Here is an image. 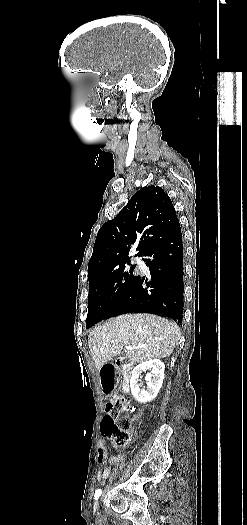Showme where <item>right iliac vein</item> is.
<instances>
[{
    "mask_svg": "<svg viewBox=\"0 0 247 525\" xmlns=\"http://www.w3.org/2000/svg\"><path fill=\"white\" fill-rule=\"evenodd\" d=\"M94 507H95V508L98 507V501H95Z\"/></svg>",
    "mask_w": 247,
    "mask_h": 525,
    "instance_id": "right-iliac-vein-1",
    "label": "right iliac vein"
}]
</instances>
